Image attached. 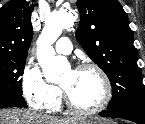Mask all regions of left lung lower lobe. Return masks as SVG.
<instances>
[{"mask_svg": "<svg viewBox=\"0 0 145 124\" xmlns=\"http://www.w3.org/2000/svg\"><path fill=\"white\" fill-rule=\"evenodd\" d=\"M102 117H117L133 121L137 124H145V109L133 106H123L107 109L100 113Z\"/></svg>", "mask_w": 145, "mask_h": 124, "instance_id": "0a47b994", "label": "left lung lower lobe"}]
</instances>
